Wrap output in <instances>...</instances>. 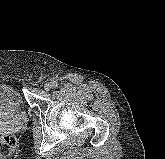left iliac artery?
Here are the masks:
<instances>
[{"label":"left iliac artery","instance_id":"1","mask_svg":"<svg viewBox=\"0 0 165 159\" xmlns=\"http://www.w3.org/2000/svg\"><path fill=\"white\" fill-rule=\"evenodd\" d=\"M52 86L53 88L57 87V82L56 81L52 82Z\"/></svg>","mask_w":165,"mask_h":159}]
</instances>
